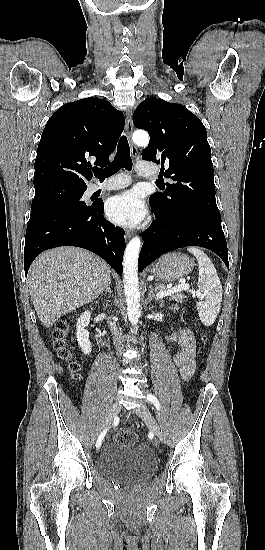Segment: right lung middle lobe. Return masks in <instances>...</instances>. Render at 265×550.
Wrapping results in <instances>:
<instances>
[{"instance_id": "obj_1", "label": "right lung middle lobe", "mask_w": 265, "mask_h": 550, "mask_svg": "<svg viewBox=\"0 0 265 550\" xmlns=\"http://www.w3.org/2000/svg\"><path fill=\"white\" fill-rule=\"evenodd\" d=\"M86 189H75L63 185H47L35 188L31 215L54 209L88 207L80 201Z\"/></svg>"}]
</instances>
